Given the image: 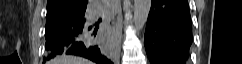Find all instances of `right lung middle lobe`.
I'll return each mask as SVG.
<instances>
[{"label": "right lung middle lobe", "mask_w": 242, "mask_h": 64, "mask_svg": "<svg viewBox=\"0 0 242 64\" xmlns=\"http://www.w3.org/2000/svg\"><path fill=\"white\" fill-rule=\"evenodd\" d=\"M85 10L86 7L73 11H58L47 13L45 37L58 28L65 27L77 22H84Z\"/></svg>", "instance_id": "right-lung-middle-lobe-1"}]
</instances>
